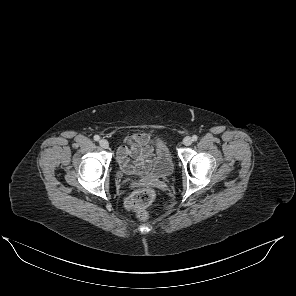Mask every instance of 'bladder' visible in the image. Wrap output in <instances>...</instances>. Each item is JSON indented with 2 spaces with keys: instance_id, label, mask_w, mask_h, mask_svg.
Segmentation results:
<instances>
[{
  "instance_id": "31cf9c89",
  "label": "bladder",
  "mask_w": 296,
  "mask_h": 296,
  "mask_svg": "<svg viewBox=\"0 0 296 296\" xmlns=\"http://www.w3.org/2000/svg\"><path fill=\"white\" fill-rule=\"evenodd\" d=\"M154 159L148 173L159 179L170 177L175 165L170 150L163 139H156L153 145Z\"/></svg>"
}]
</instances>
